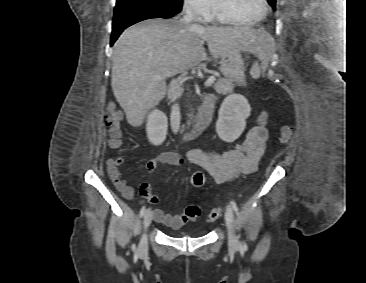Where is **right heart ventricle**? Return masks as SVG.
Listing matches in <instances>:
<instances>
[{
    "label": "right heart ventricle",
    "instance_id": "right-heart-ventricle-1",
    "mask_svg": "<svg viewBox=\"0 0 366 283\" xmlns=\"http://www.w3.org/2000/svg\"><path fill=\"white\" fill-rule=\"evenodd\" d=\"M206 20L226 24L227 22L221 19L215 12L214 7H211L210 12L206 16Z\"/></svg>",
    "mask_w": 366,
    "mask_h": 283
}]
</instances>
